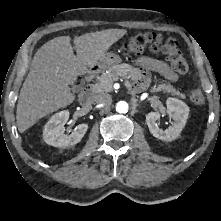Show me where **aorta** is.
<instances>
[{
	"label": "aorta",
	"instance_id": "aorta-1",
	"mask_svg": "<svg viewBox=\"0 0 221 221\" xmlns=\"http://www.w3.org/2000/svg\"><path fill=\"white\" fill-rule=\"evenodd\" d=\"M128 109H129V105L125 101H119L116 105V111L118 113H127Z\"/></svg>",
	"mask_w": 221,
	"mask_h": 221
}]
</instances>
